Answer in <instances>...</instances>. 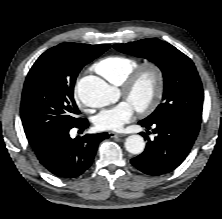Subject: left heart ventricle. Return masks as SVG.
I'll use <instances>...</instances> for the list:
<instances>
[{
	"mask_svg": "<svg viewBox=\"0 0 222 219\" xmlns=\"http://www.w3.org/2000/svg\"><path fill=\"white\" fill-rule=\"evenodd\" d=\"M153 79L149 73L143 74L136 83L130 99H127L133 106L143 105L149 101L153 93Z\"/></svg>",
	"mask_w": 222,
	"mask_h": 219,
	"instance_id": "1",
	"label": "left heart ventricle"
}]
</instances>
